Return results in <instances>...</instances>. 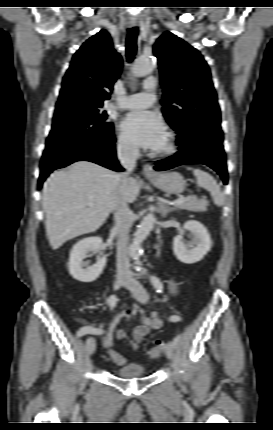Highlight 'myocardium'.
Instances as JSON below:
<instances>
[{"label":"myocardium","instance_id":"1","mask_svg":"<svg viewBox=\"0 0 273 430\" xmlns=\"http://www.w3.org/2000/svg\"><path fill=\"white\" fill-rule=\"evenodd\" d=\"M177 150V140L173 132L166 135V143L156 154L159 157H168L173 155Z\"/></svg>","mask_w":273,"mask_h":430}]
</instances>
